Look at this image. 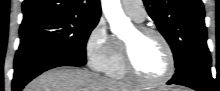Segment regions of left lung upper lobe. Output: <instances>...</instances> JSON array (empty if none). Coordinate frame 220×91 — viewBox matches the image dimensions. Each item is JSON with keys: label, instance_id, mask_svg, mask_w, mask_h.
<instances>
[{"label": "left lung upper lobe", "instance_id": "5c2ea615", "mask_svg": "<svg viewBox=\"0 0 220 91\" xmlns=\"http://www.w3.org/2000/svg\"><path fill=\"white\" fill-rule=\"evenodd\" d=\"M174 54L176 73L211 62L201 0H143Z\"/></svg>", "mask_w": 220, "mask_h": 91}]
</instances>
